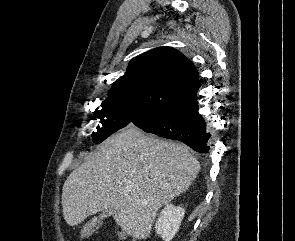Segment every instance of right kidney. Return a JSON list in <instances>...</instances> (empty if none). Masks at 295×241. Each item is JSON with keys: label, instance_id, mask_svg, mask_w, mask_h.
I'll return each instance as SVG.
<instances>
[{"label": "right kidney", "instance_id": "ca27d5eb", "mask_svg": "<svg viewBox=\"0 0 295 241\" xmlns=\"http://www.w3.org/2000/svg\"><path fill=\"white\" fill-rule=\"evenodd\" d=\"M184 214L185 210L182 207L167 204L156 222V233L161 235L164 241L172 240L179 230Z\"/></svg>", "mask_w": 295, "mask_h": 241}]
</instances>
